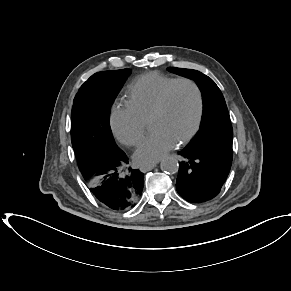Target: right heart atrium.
I'll use <instances>...</instances> for the list:
<instances>
[{
	"label": "right heart atrium",
	"instance_id": "obj_1",
	"mask_svg": "<svg viewBox=\"0 0 291 291\" xmlns=\"http://www.w3.org/2000/svg\"><path fill=\"white\" fill-rule=\"evenodd\" d=\"M110 125L115 137L127 146L136 145L142 139L145 131V122L127 103L113 107Z\"/></svg>",
	"mask_w": 291,
	"mask_h": 291
}]
</instances>
